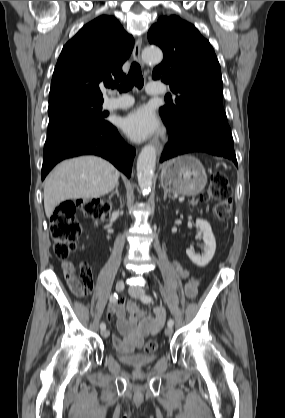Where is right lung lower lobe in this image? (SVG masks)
Instances as JSON below:
<instances>
[{
    "mask_svg": "<svg viewBox=\"0 0 285 418\" xmlns=\"http://www.w3.org/2000/svg\"><path fill=\"white\" fill-rule=\"evenodd\" d=\"M80 155L101 156L130 178L135 149L124 142L109 122L104 126L75 127L46 140L42 180L58 162Z\"/></svg>",
    "mask_w": 285,
    "mask_h": 418,
    "instance_id": "1",
    "label": "right lung lower lobe"
}]
</instances>
